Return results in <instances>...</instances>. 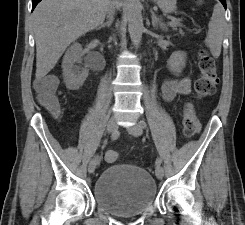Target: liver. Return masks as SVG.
<instances>
[{"mask_svg":"<svg viewBox=\"0 0 245 225\" xmlns=\"http://www.w3.org/2000/svg\"><path fill=\"white\" fill-rule=\"evenodd\" d=\"M110 0H42L33 12L36 80L56 65L66 48L105 19ZM117 7L122 3L115 2Z\"/></svg>","mask_w":245,"mask_h":225,"instance_id":"6515ba94","label":"liver"}]
</instances>
